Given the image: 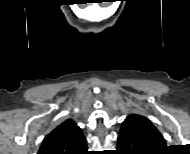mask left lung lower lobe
<instances>
[{"instance_id":"1","label":"left lung lower lobe","mask_w":190,"mask_h":154,"mask_svg":"<svg viewBox=\"0 0 190 154\" xmlns=\"http://www.w3.org/2000/svg\"><path fill=\"white\" fill-rule=\"evenodd\" d=\"M165 146L162 134L145 117L129 115L122 123L117 150L125 154H148Z\"/></svg>"}]
</instances>
